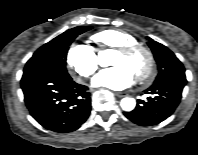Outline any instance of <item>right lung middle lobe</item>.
<instances>
[{"mask_svg":"<svg viewBox=\"0 0 198 155\" xmlns=\"http://www.w3.org/2000/svg\"><path fill=\"white\" fill-rule=\"evenodd\" d=\"M90 26H78L57 36L40 47L25 65L24 72L44 71L64 78H70L65 62L69 45L81 33L90 30Z\"/></svg>","mask_w":198,"mask_h":155,"instance_id":"right-lung-middle-lobe-1","label":"right lung middle lobe"}]
</instances>
